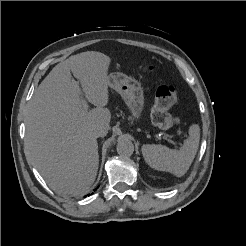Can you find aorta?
Returning <instances> with one entry per match:
<instances>
[{"label":"aorta","instance_id":"762f6f07","mask_svg":"<svg viewBox=\"0 0 246 246\" xmlns=\"http://www.w3.org/2000/svg\"><path fill=\"white\" fill-rule=\"evenodd\" d=\"M134 152V145L132 141L126 136H121L117 143V153L123 157H129Z\"/></svg>","mask_w":246,"mask_h":246}]
</instances>
